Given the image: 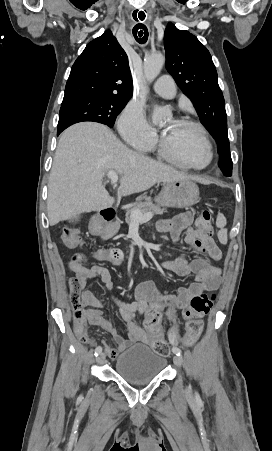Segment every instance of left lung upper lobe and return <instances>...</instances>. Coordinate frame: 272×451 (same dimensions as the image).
Listing matches in <instances>:
<instances>
[{
    "instance_id": "obj_1",
    "label": "left lung upper lobe",
    "mask_w": 272,
    "mask_h": 451,
    "mask_svg": "<svg viewBox=\"0 0 272 451\" xmlns=\"http://www.w3.org/2000/svg\"><path fill=\"white\" fill-rule=\"evenodd\" d=\"M164 46L166 69L194 103L201 122L218 144L221 171L225 176H231L225 102L209 51L197 37L178 30L172 23L166 27Z\"/></svg>"
}]
</instances>
